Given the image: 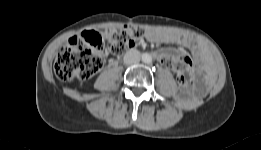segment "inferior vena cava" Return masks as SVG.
<instances>
[{"label": "inferior vena cava", "mask_w": 261, "mask_h": 150, "mask_svg": "<svg viewBox=\"0 0 261 150\" xmlns=\"http://www.w3.org/2000/svg\"><path fill=\"white\" fill-rule=\"evenodd\" d=\"M140 61V52L136 49H130L124 55V63L125 64H136Z\"/></svg>", "instance_id": "inferior-vena-cava-1"}]
</instances>
